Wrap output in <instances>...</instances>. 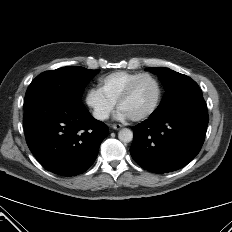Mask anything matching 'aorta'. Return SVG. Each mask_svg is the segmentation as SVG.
<instances>
[{"mask_svg":"<svg viewBox=\"0 0 232 232\" xmlns=\"http://www.w3.org/2000/svg\"><path fill=\"white\" fill-rule=\"evenodd\" d=\"M118 138L121 142L129 143L133 139V132L128 128H123L119 131Z\"/></svg>","mask_w":232,"mask_h":232,"instance_id":"762f6f07","label":"aorta"}]
</instances>
